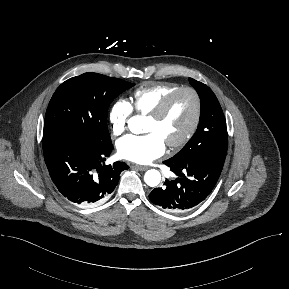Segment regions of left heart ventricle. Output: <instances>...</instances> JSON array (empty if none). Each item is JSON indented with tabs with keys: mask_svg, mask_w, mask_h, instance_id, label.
<instances>
[{
	"mask_svg": "<svg viewBox=\"0 0 289 289\" xmlns=\"http://www.w3.org/2000/svg\"><path fill=\"white\" fill-rule=\"evenodd\" d=\"M195 113V100L191 93L182 92L172 101L166 114L159 120L146 119L145 132H154L165 144L180 139L190 127Z\"/></svg>",
	"mask_w": 289,
	"mask_h": 289,
	"instance_id": "1",
	"label": "left heart ventricle"
}]
</instances>
